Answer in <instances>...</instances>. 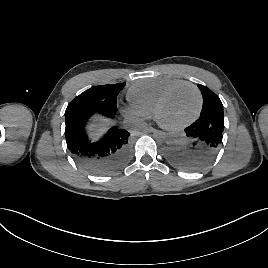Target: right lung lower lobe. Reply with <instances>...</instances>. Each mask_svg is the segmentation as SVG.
<instances>
[{"label": "right lung lower lobe", "mask_w": 268, "mask_h": 268, "mask_svg": "<svg viewBox=\"0 0 268 268\" xmlns=\"http://www.w3.org/2000/svg\"><path fill=\"white\" fill-rule=\"evenodd\" d=\"M100 113L113 118L115 111L79 104L65 111V137L73 158L87 171L104 175L118 170L130 151V133L112 127L99 141L91 142L85 132L89 118Z\"/></svg>", "instance_id": "98d812e1"}]
</instances>
